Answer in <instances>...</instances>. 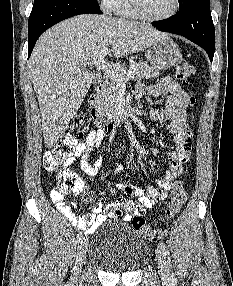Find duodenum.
<instances>
[{"label":"duodenum","mask_w":233,"mask_h":286,"mask_svg":"<svg viewBox=\"0 0 233 286\" xmlns=\"http://www.w3.org/2000/svg\"><path fill=\"white\" fill-rule=\"evenodd\" d=\"M106 85V79L101 78L95 87L94 92L90 96L89 99V106H90V117L94 124L104 128L108 132H113L117 130L121 124L122 120L121 117L114 119V120H103L100 117L99 111H98V98H99V93L103 90V88Z\"/></svg>","instance_id":"obj_1"}]
</instances>
